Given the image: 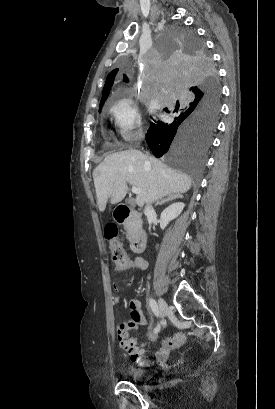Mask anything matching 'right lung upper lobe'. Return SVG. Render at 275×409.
Wrapping results in <instances>:
<instances>
[{
    "label": "right lung upper lobe",
    "mask_w": 275,
    "mask_h": 409,
    "mask_svg": "<svg viewBox=\"0 0 275 409\" xmlns=\"http://www.w3.org/2000/svg\"><path fill=\"white\" fill-rule=\"evenodd\" d=\"M117 72H118V69H115V70L111 71L107 76V79H106V82H105V85H104V89H103V93H102V98H101V101H100L99 110H101L103 104L105 103V100L107 99V97H108V95L110 93V90H111V87L113 85L114 78H115ZM124 80L125 81L128 80L125 75H124ZM194 91L195 90H192V92H194Z\"/></svg>",
    "instance_id": "1"
}]
</instances>
